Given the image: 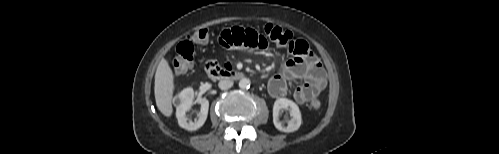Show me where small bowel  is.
I'll list each match as a JSON object with an SVG mask.
<instances>
[{
  "instance_id": "1",
  "label": "small bowel",
  "mask_w": 499,
  "mask_h": 154,
  "mask_svg": "<svg viewBox=\"0 0 499 154\" xmlns=\"http://www.w3.org/2000/svg\"><path fill=\"white\" fill-rule=\"evenodd\" d=\"M218 41L229 50L256 49L267 50L270 43L266 35L250 28L233 27L221 32ZM291 55L281 74L274 75L268 82L272 97L282 98L288 93V84L294 80H303L293 92V98L299 105L316 99L327 86V79L320 60L313 54L306 41L291 39L283 45Z\"/></svg>"
}]
</instances>
